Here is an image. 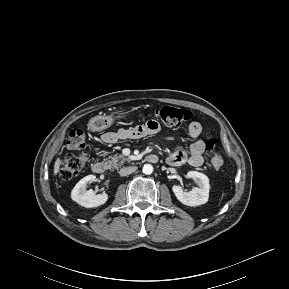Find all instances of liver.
I'll list each match as a JSON object with an SVG mask.
<instances>
[{
    "label": "liver",
    "mask_w": 289,
    "mask_h": 289,
    "mask_svg": "<svg viewBox=\"0 0 289 289\" xmlns=\"http://www.w3.org/2000/svg\"><path fill=\"white\" fill-rule=\"evenodd\" d=\"M60 165H61V159H57L55 161V164H54V175L56 176L59 172V169H60Z\"/></svg>",
    "instance_id": "liver-1"
}]
</instances>
